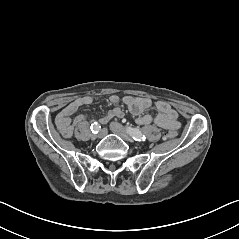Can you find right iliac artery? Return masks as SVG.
Here are the masks:
<instances>
[{"label":"right iliac artery","mask_w":239,"mask_h":239,"mask_svg":"<svg viewBox=\"0 0 239 239\" xmlns=\"http://www.w3.org/2000/svg\"><path fill=\"white\" fill-rule=\"evenodd\" d=\"M91 130L94 134H97L99 133V131L101 130V126L99 123L97 122H94L92 125H91Z\"/></svg>","instance_id":"obj_1"}]
</instances>
